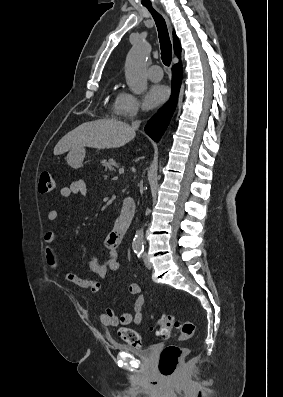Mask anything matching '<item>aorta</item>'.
Segmentation results:
<instances>
[{
  "mask_svg": "<svg viewBox=\"0 0 283 397\" xmlns=\"http://www.w3.org/2000/svg\"><path fill=\"white\" fill-rule=\"evenodd\" d=\"M151 47L147 42L135 44L129 51L125 62V77L130 90L140 95L147 89L146 62ZM132 247L135 251L143 249V231L138 230L133 239Z\"/></svg>",
  "mask_w": 283,
  "mask_h": 397,
  "instance_id": "762f6f07",
  "label": "aorta"
}]
</instances>
